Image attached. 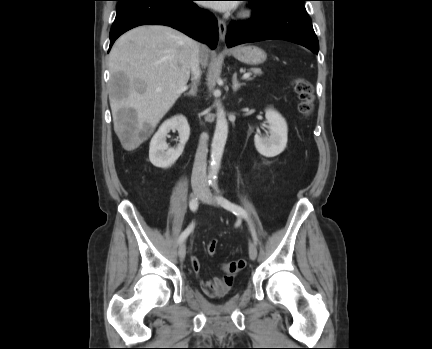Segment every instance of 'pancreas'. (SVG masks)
<instances>
[{"mask_svg":"<svg viewBox=\"0 0 432 349\" xmlns=\"http://www.w3.org/2000/svg\"><path fill=\"white\" fill-rule=\"evenodd\" d=\"M250 71H252L255 75L262 74V71L260 69H257V68H252V69H250Z\"/></svg>","mask_w":432,"mask_h":349,"instance_id":"obj_1","label":"pancreas"}]
</instances>
